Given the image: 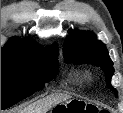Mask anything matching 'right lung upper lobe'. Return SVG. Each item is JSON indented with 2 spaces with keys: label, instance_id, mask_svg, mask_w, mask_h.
Returning a JSON list of instances; mask_svg holds the SVG:
<instances>
[{
  "label": "right lung upper lobe",
  "instance_id": "right-lung-upper-lobe-1",
  "mask_svg": "<svg viewBox=\"0 0 123 113\" xmlns=\"http://www.w3.org/2000/svg\"><path fill=\"white\" fill-rule=\"evenodd\" d=\"M6 47H18V48H23V49L38 48L36 43L30 37H27V38L15 37L5 46V48ZM46 49L51 50L52 52L58 54V50L55 46H50Z\"/></svg>",
  "mask_w": 123,
  "mask_h": 113
}]
</instances>
